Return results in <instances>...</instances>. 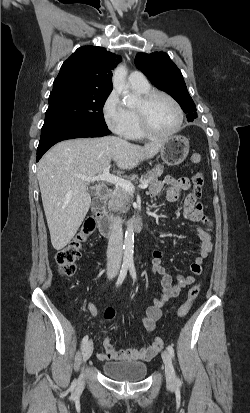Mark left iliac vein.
<instances>
[{"label": "left iliac vein", "mask_w": 250, "mask_h": 413, "mask_svg": "<svg viewBox=\"0 0 250 413\" xmlns=\"http://www.w3.org/2000/svg\"><path fill=\"white\" fill-rule=\"evenodd\" d=\"M162 359L165 365L166 381L169 386L175 383V371L171 360V355L167 351L162 352Z\"/></svg>", "instance_id": "obj_1"}]
</instances>
